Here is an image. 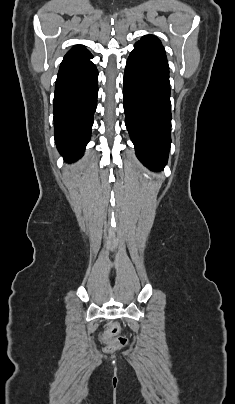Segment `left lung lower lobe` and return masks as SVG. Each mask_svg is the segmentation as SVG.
<instances>
[{"label":"left lung lower lobe","instance_id":"left-lung-lower-lobe-1","mask_svg":"<svg viewBox=\"0 0 235 404\" xmlns=\"http://www.w3.org/2000/svg\"><path fill=\"white\" fill-rule=\"evenodd\" d=\"M125 124L139 160L160 171L171 144L169 66L165 52L135 44L127 60L124 85Z\"/></svg>","mask_w":235,"mask_h":404}]
</instances>
